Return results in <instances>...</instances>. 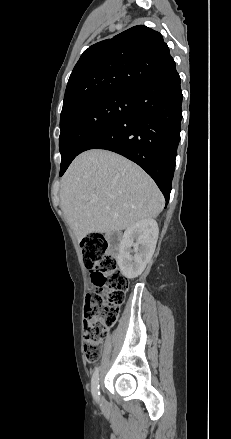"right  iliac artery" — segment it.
I'll return each mask as SVG.
<instances>
[{
    "label": "right iliac artery",
    "mask_w": 231,
    "mask_h": 439,
    "mask_svg": "<svg viewBox=\"0 0 231 439\" xmlns=\"http://www.w3.org/2000/svg\"><path fill=\"white\" fill-rule=\"evenodd\" d=\"M91 388H92V394L96 401L100 400V391H99V368H96L95 372L93 373L92 379H91Z\"/></svg>",
    "instance_id": "82829eb1"
}]
</instances>
